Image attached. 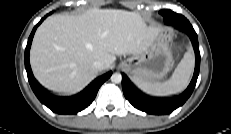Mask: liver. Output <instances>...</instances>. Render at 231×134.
<instances>
[{
    "mask_svg": "<svg viewBox=\"0 0 231 134\" xmlns=\"http://www.w3.org/2000/svg\"><path fill=\"white\" fill-rule=\"evenodd\" d=\"M162 31L136 12L93 8L81 15H53L37 29L30 62L37 80L63 94L83 89L96 75L95 61L109 68L116 55L143 52Z\"/></svg>",
    "mask_w": 231,
    "mask_h": 134,
    "instance_id": "liver-1",
    "label": "liver"
}]
</instances>
